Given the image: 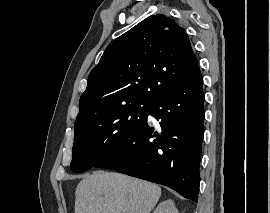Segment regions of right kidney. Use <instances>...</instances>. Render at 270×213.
<instances>
[{"instance_id":"ca27d5eb","label":"right kidney","mask_w":270,"mask_h":213,"mask_svg":"<svg viewBox=\"0 0 270 213\" xmlns=\"http://www.w3.org/2000/svg\"><path fill=\"white\" fill-rule=\"evenodd\" d=\"M153 213H179L172 200L161 202Z\"/></svg>"}]
</instances>
